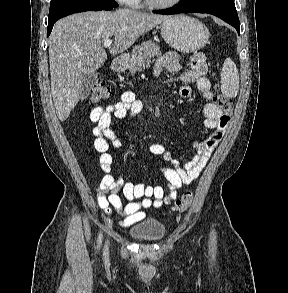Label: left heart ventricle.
I'll list each match as a JSON object with an SVG mask.
<instances>
[{
    "instance_id": "left-heart-ventricle-1",
    "label": "left heart ventricle",
    "mask_w": 288,
    "mask_h": 293,
    "mask_svg": "<svg viewBox=\"0 0 288 293\" xmlns=\"http://www.w3.org/2000/svg\"><path fill=\"white\" fill-rule=\"evenodd\" d=\"M156 2H161V3H164V2H169L170 0H155Z\"/></svg>"
}]
</instances>
